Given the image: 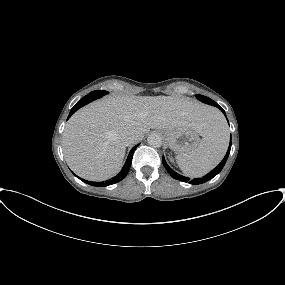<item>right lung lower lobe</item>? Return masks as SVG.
I'll use <instances>...</instances> for the list:
<instances>
[{
  "label": "right lung lower lobe",
  "mask_w": 285,
  "mask_h": 285,
  "mask_svg": "<svg viewBox=\"0 0 285 285\" xmlns=\"http://www.w3.org/2000/svg\"><path fill=\"white\" fill-rule=\"evenodd\" d=\"M99 96H91V97H83L81 100H79L75 105L74 107L71 109L70 113H69V116H68V119L71 117V115L76 112L79 108H81L82 106L90 103L91 101L95 100V99H98ZM138 145H136L135 147H133L127 157V160L121 170V172L116 175L115 177L105 181V182H92V181H87V180H83L81 179L83 182L89 184V185H92V186H98V187H104V186H108V185H112V184H115L119 181H121L122 179L125 178V176L127 175L129 169H130V166H131V162H132V157H133V153H134V150L137 148Z\"/></svg>",
  "instance_id": "1"
}]
</instances>
